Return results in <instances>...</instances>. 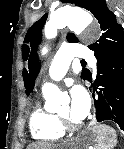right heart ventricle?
I'll use <instances>...</instances> for the list:
<instances>
[{"mask_svg": "<svg viewBox=\"0 0 124 149\" xmlns=\"http://www.w3.org/2000/svg\"><path fill=\"white\" fill-rule=\"evenodd\" d=\"M29 130L32 138L42 143L57 141L65 133L59 125L56 114L48 111L40 101L30 112Z\"/></svg>", "mask_w": 124, "mask_h": 149, "instance_id": "right-heart-ventricle-1", "label": "right heart ventricle"}]
</instances>
